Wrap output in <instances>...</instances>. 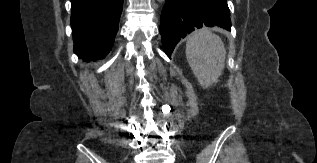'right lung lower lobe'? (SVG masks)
I'll return each mask as SVG.
<instances>
[{
    "label": "right lung lower lobe",
    "instance_id": "98d812e1",
    "mask_svg": "<svg viewBox=\"0 0 317 163\" xmlns=\"http://www.w3.org/2000/svg\"><path fill=\"white\" fill-rule=\"evenodd\" d=\"M74 51L84 61L104 58L118 31L123 0H71Z\"/></svg>",
    "mask_w": 317,
    "mask_h": 163
}]
</instances>
